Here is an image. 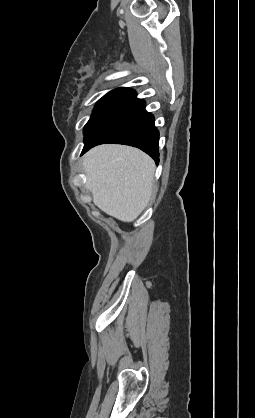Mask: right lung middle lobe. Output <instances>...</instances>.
Here are the masks:
<instances>
[{
  "mask_svg": "<svg viewBox=\"0 0 255 418\" xmlns=\"http://www.w3.org/2000/svg\"><path fill=\"white\" fill-rule=\"evenodd\" d=\"M124 88H117L114 89L112 91H110L109 93H107L105 96H103L98 103L96 104L93 114L90 118V120L87 122V124L84 127V132L86 131V129L88 128L89 124L91 123V121L93 120V118L97 115V113L114 97L116 96L118 93H120Z\"/></svg>",
  "mask_w": 255,
  "mask_h": 418,
  "instance_id": "right-lung-middle-lobe-1",
  "label": "right lung middle lobe"
}]
</instances>
